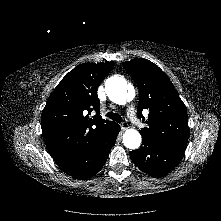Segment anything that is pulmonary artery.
<instances>
[{
	"label": "pulmonary artery",
	"instance_id": "obj_1",
	"mask_svg": "<svg viewBox=\"0 0 221 221\" xmlns=\"http://www.w3.org/2000/svg\"><path fill=\"white\" fill-rule=\"evenodd\" d=\"M128 115H129V117H130L133 121H136L135 112H134L133 106H129V108H128Z\"/></svg>",
	"mask_w": 221,
	"mask_h": 221
}]
</instances>
